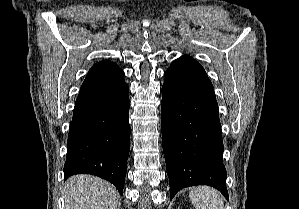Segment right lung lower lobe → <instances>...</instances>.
<instances>
[{
    "mask_svg": "<svg viewBox=\"0 0 299 209\" xmlns=\"http://www.w3.org/2000/svg\"><path fill=\"white\" fill-rule=\"evenodd\" d=\"M128 92L123 71L89 70L70 123L65 178L92 174L123 194L130 149Z\"/></svg>",
    "mask_w": 299,
    "mask_h": 209,
    "instance_id": "obj_1",
    "label": "right lung lower lobe"
}]
</instances>
